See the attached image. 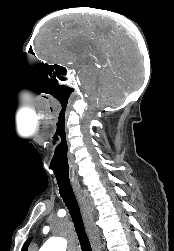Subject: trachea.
Listing matches in <instances>:
<instances>
[{"label": "trachea", "instance_id": "trachea-1", "mask_svg": "<svg viewBox=\"0 0 174 251\" xmlns=\"http://www.w3.org/2000/svg\"><path fill=\"white\" fill-rule=\"evenodd\" d=\"M60 195L66 204L74 223L82 251H92L88 236L85 231L80 208L70 183L57 182Z\"/></svg>", "mask_w": 174, "mask_h": 251}]
</instances>
